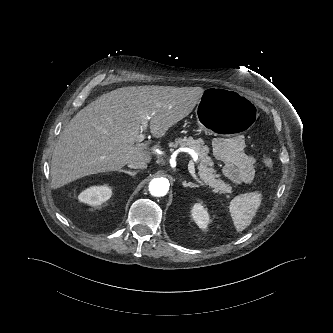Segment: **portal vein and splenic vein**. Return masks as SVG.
Masks as SVG:
<instances>
[{"label":"portal vein and splenic vein","mask_w":333,"mask_h":333,"mask_svg":"<svg viewBox=\"0 0 333 333\" xmlns=\"http://www.w3.org/2000/svg\"><path fill=\"white\" fill-rule=\"evenodd\" d=\"M150 119L149 116L147 115H142L141 116V131L140 134L137 136L136 138V142L137 143H141L144 139H145V134L144 132H146L147 126H148V120ZM191 157L192 159L190 160L189 164H188V170L190 172V174L193 176V178H195L198 183L202 184V182L197 178L196 174H195V167H194V162L197 161L198 159V155L197 153H195L194 151L191 153Z\"/></svg>","instance_id":"portal-vein-and-splenic-vein-1"}]
</instances>
